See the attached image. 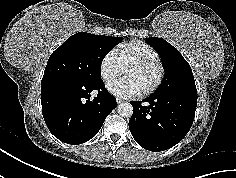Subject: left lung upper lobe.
Returning <instances> with one entry per match:
<instances>
[{
    "mask_svg": "<svg viewBox=\"0 0 236 178\" xmlns=\"http://www.w3.org/2000/svg\"><path fill=\"white\" fill-rule=\"evenodd\" d=\"M147 43L160 55L165 71L163 82L154 94L197 96L191 67L180 52L162 38H147Z\"/></svg>",
    "mask_w": 236,
    "mask_h": 178,
    "instance_id": "obj_1",
    "label": "left lung upper lobe"
}]
</instances>
